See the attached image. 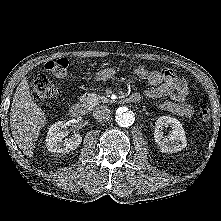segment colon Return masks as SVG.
I'll return each instance as SVG.
<instances>
[{
	"label": "colon",
	"instance_id": "1",
	"mask_svg": "<svg viewBox=\"0 0 221 221\" xmlns=\"http://www.w3.org/2000/svg\"><path fill=\"white\" fill-rule=\"evenodd\" d=\"M69 62L65 58L48 61L45 64V69L57 77H64L67 74ZM32 92L34 98L38 100H53L58 96V89L55 85L45 76L37 75L31 82ZM199 122L206 126L211 119V113L207 106L202 105L197 112Z\"/></svg>",
	"mask_w": 221,
	"mask_h": 221
}]
</instances>
